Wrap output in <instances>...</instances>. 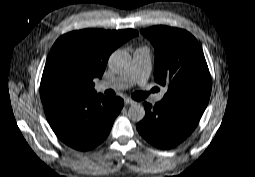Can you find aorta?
<instances>
[{"mask_svg":"<svg viewBox=\"0 0 255 177\" xmlns=\"http://www.w3.org/2000/svg\"><path fill=\"white\" fill-rule=\"evenodd\" d=\"M131 60L128 52L118 49L111 54L108 63L113 70L121 72L130 65ZM127 116L133 122H140L145 117V109L141 104L134 103L129 107Z\"/></svg>","mask_w":255,"mask_h":177,"instance_id":"aorta-1","label":"aorta"}]
</instances>
